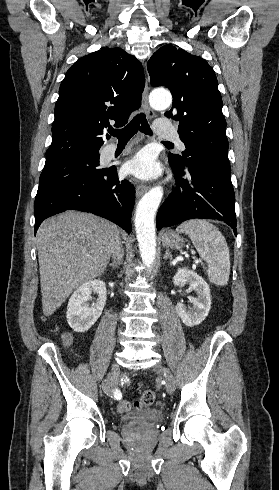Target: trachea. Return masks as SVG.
<instances>
[{"instance_id":"1","label":"trachea","mask_w":279,"mask_h":490,"mask_svg":"<svg viewBox=\"0 0 279 490\" xmlns=\"http://www.w3.org/2000/svg\"><path fill=\"white\" fill-rule=\"evenodd\" d=\"M145 133L146 135H152L151 128L146 120V115L144 113H140L133 118V120L126 125V127L121 128V130L111 129L109 130L110 135L113 137H117L120 141H128L130 140L135 133L138 132ZM170 144L171 142H164Z\"/></svg>"}]
</instances>
